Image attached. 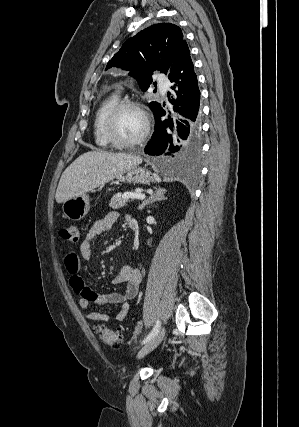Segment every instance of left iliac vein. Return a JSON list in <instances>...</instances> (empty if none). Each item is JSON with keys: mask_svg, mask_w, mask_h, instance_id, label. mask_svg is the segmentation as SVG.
Returning a JSON list of instances; mask_svg holds the SVG:
<instances>
[{"mask_svg": "<svg viewBox=\"0 0 299 427\" xmlns=\"http://www.w3.org/2000/svg\"><path fill=\"white\" fill-rule=\"evenodd\" d=\"M165 336V328L163 327L158 334L147 342L138 352V358L144 357L146 354L154 350L163 340Z\"/></svg>", "mask_w": 299, "mask_h": 427, "instance_id": "1", "label": "left iliac vein"}]
</instances>
